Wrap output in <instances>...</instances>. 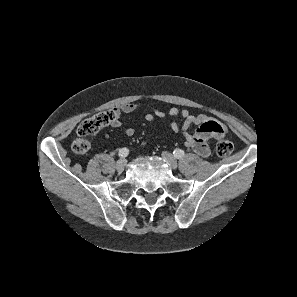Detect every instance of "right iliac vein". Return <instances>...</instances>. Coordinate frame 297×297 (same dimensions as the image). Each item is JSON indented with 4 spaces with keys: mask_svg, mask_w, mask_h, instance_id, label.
I'll return each instance as SVG.
<instances>
[{
    "mask_svg": "<svg viewBox=\"0 0 297 297\" xmlns=\"http://www.w3.org/2000/svg\"><path fill=\"white\" fill-rule=\"evenodd\" d=\"M126 164H127V161H126V159H120V160H118L117 161V163H116V170L118 171V172H123L124 171V169H125V167H126Z\"/></svg>",
    "mask_w": 297,
    "mask_h": 297,
    "instance_id": "obj_1",
    "label": "right iliac vein"
}]
</instances>
